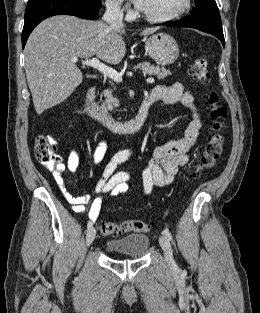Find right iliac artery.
<instances>
[{
  "label": "right iliac artery",
  "mask_w": 260,
  "mask_h": 313,
  "mask_svg": "<svg viewBox=\"0 0 260 313\" xmlns=\"http://www.w3.org/2000/svg\"><path fill=\"white\" fill-rule=\"evenodd\" d=\"M92 227V222H88V224H87V228L89 229V228H91Z\"/></svg>",
  "instance_id": "82829eb1"
}]
</instances>
